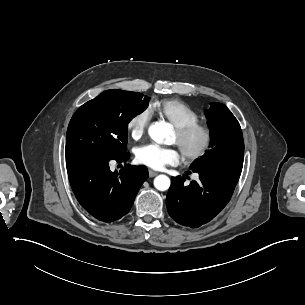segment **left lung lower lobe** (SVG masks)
<instances>
[{"mask_svg": "<svg viewBox=\"0 0 305 305\" xmlns=\"http://www.w3.org/2000/svg\"><path fill=\"white\" fill-rule=\"evenodd\" d=\"M200 181L184 186L181 176L171 179L166 205L169 215L177 223L198 228L211 221L229 202L242 167L213 165L192 167ZM189 174L190 172H186Z\"/></svg>", "mask_w": 305, "mask_h": 305, "instance_id": "obj_1", "label": "left lung lower lobe"}]
</instances>
